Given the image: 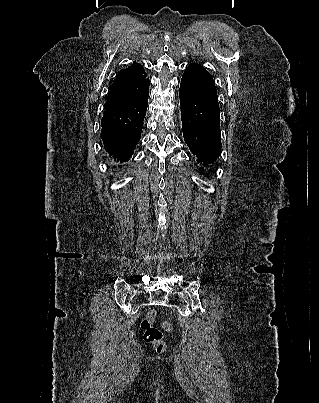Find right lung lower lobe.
Listing matches in <instances>:
<instances>
[{"mask_svg": "<svg viewBox=\"0 0 319 403\" xmlns=\"http://www.w3.org/2000/svg\"><path fill=\"white\" fill-rule=\"evenodd\" d=\"M149 93L127 103L105 108L101 119V138L108 154L118 162H126L140 140Z\"/></svg>", "mask_w": 319, "mask_h": 403, "instance_id": "98d812e1", "label": "right lung lower lobe"}]
</instances>
